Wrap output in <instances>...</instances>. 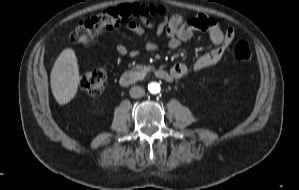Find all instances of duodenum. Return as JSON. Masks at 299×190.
I'll return each instance as SVG.
<instances>
[{
    "mask_svg": "<svg viewBox=\"0 0 299 190\" xmlns=\"http://www.w3.org/2000/svg\"><path fill=\"white\" fill-rule=\"evenodd\" d=\"M155 75L161 79H167L170 77L169 73L166 70H156ZM140 79V74L136 71H129L122 77V82L124 84H132Z\"/></svg>",
    "mask_w": 299,
    "mask_h": 190,
    "instance_id": "1",
    "label": "duodenum"
}]
</instances>
